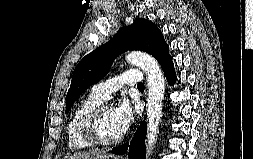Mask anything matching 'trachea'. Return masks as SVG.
Segmentation results:
<instances>
[{
    "label": "trachea",
    "mask_w": 253,
    "mask_h": 159,
    "mask_svg": "<svg viewBox=\"0 0 253 159\" xmlns=\"http://www.w3.org/2000/svg\"><path fill=\"white\" fill-rule=\"evenodd\" d=\"M138 88H144V84L143 83H140L137 85Z\"/></svg>",
    "instance_id": "trachea-1"
}]
</instances>
